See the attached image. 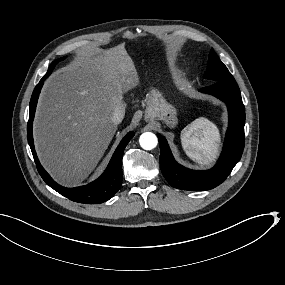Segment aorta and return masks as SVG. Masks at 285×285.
I'll list each match as a JSON object with an SVG mask.
<instances>
[{
    "instance_id": "762f6f07",
    "label": "aorta",
    "mask_w": 285,
    "mask_h": 285,
    "mask_svg": "<svg viewBox=\"0 0 285 285\" xmlns=\"http://www.w3.org/2000/svg\"><path fill=\"white\" fill-rule=\"evenodd\" d=\"M140 145L145 150H152L157 146L158 139L155 134L151 132H145L140 136Z\"/></svg>"
}]
</instances>
